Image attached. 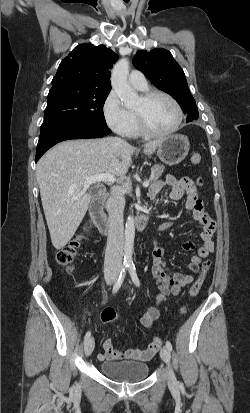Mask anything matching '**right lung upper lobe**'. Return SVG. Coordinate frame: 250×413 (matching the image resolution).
<instances>
[{"label":"right lung upper lobe","instance_id":"obj_1","mask_svg":"<svg viewBox=\"0 0 250 413\" xmlns=\"http://www.w3.org/2000/svg\"><path fill=\"white\" fill-rule=\"evenodd\" d=\"M118 58L104 45H78L60 63L51 89L77 85L85 89L110 91V69Z\"/></svg>","mask_w":250,"mask_h":413}]
</instances>
